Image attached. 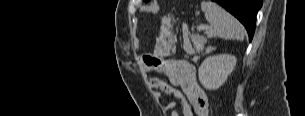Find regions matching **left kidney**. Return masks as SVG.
<instances>
[{
    "label": "left kidney",
    "instance_id": "1",
    "mask_svg": "<svg viewBox=\"0 0 305 116\" xmlns=\"http://www.w3.org/2000/svg\"><path fill=\"white\" fill-rule=\"evenodd\" d=\"M236 57L229 54L208 56L198 69L199 81L205 89L217 90L236 66Z\"/></svg>",
    "mask_w": 305,
    "mask_h": 116
}]
</instances>
